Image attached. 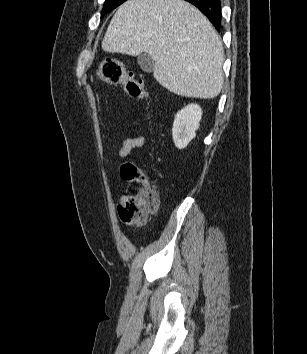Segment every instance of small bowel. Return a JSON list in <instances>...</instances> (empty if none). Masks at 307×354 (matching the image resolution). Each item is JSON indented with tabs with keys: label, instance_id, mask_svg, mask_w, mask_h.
Masks as SVG:
<instances>
[{
	"label": "small bowel",
	"instance_id": "c3829d8e",
	"mask_svg": "<svg viewBox=\"0 0 307 354\" xmlns=\"http://www.w3.org/2000/svg\"><path fill=\"white\" fill-rule=\"evenodd\" d=\"M146 142V138L143 134L127 138L123 141L120 149L117 152L118 158H126L133 149L142 147Z\"/></svg>",
	"mask_w": 307,
	"mask_h": 354
}]
</instances>
